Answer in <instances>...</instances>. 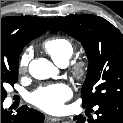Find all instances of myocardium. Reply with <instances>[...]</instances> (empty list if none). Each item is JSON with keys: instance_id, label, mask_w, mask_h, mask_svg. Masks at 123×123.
<instances>
[{"instance_id": "myocardium-1", "label": "myocardium", "mask_w": 123, "mask_h": 123, "mask_svg": "<svg viewBox=\"0 0 123 123\" xmlns=\"http://www.w3.org/2000/svg\"><path fill=\"white\" fill-rule=\"evenodd\" d=\"M89 66L85 59H79L72 65V73L78 80H83L88 74Z\"/></svg>"}]
</instances>
